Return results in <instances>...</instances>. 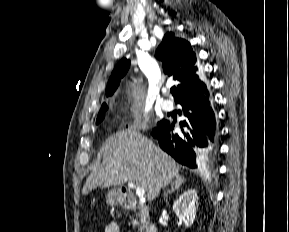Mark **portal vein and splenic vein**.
<instances>
[{
	"mask_svg": "<svg viewBox=\"0 0 289 232\" xmlns=\"http://www.w3.org/2000/svg\"><path fill=\"white\" fill-rule=\"evenodd\" d=\"M128 187L135 189L136 190V195L139 198H143L144 197V195H145V189L144 188L139 187L138 185H136L133 182H128Z\"/></svg>",
	"mask_w": 289,
	"mask_h": 232,
	"instance_id": "18ae733b",
	"label": "portal vein and splenic vein"
}]
</instances>
